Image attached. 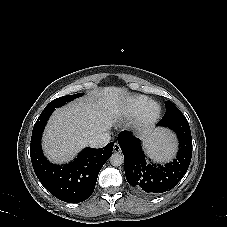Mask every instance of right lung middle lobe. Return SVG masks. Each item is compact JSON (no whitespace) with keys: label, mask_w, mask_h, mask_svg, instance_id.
Wrapping results in <instances>:
<instances>
[{"label":"right lung middle lobe","mask_w":227,"mask_h":227,"mask_svg":"<svg viewBox=\"0 0 227 227\" xmlns=\"http://www.w3.org/2000/svg\"><path fill=\"white\" fill-rule=\"evenodd\" d=\"M83 93H78V94H74V95H67V96H62L60 98H57L53 101H51L46 107L45 109H48V108H57V107H60L64 104H66L67 102H70L71 100L77 98V97H80L82 96Z\"/></svg>","instance_id":"obj_1"}]
</instances>
